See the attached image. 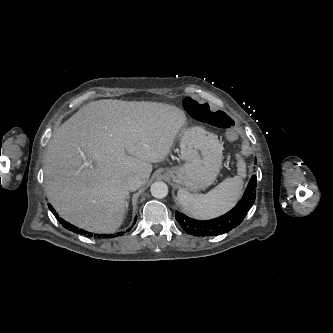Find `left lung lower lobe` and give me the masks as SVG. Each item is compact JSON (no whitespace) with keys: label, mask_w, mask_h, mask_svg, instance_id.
Returning <instances> with one entry per match:
<instances>
[{"label":"left lung lower lobe","mask_w":333,"mask_h":333,"mask_svg":"<svg viewBox=\"0 0 333 333\" xmlns=\"http://www.w3.org/2000/svg\"><path fill=\"white\" fill-rule=\"evenodd\" d=\"M256 164V161H255ZM257 177L253 175L239 203L225 215L207 221L191 219L176 211V220L188 233L196 236H216L229 232L238 226L255 201Z\"/></svg>","instance_id":"obj_1"}]
</instances>
